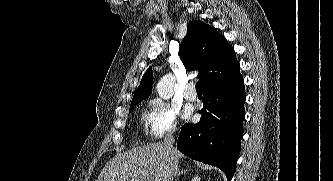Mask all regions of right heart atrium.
<instances>
[{"mask_svg":"<svg viewBox=\"0 0 333 181\" xmlns=\"http://www.w3.org/2000/svg\"><path fill=\"white\" fill-rule=\"evenodd\" d=\"M178 109L160 98L150 101L146 115L149 134L153 138H161L177 128Z\"/></svg>","mask_w":333,"mask_h":181,"instance_id":"1","label":"right heart atrium"}]
</instances>
